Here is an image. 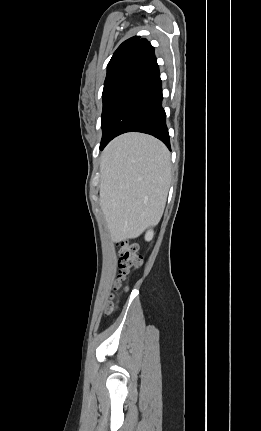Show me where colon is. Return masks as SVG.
<instances>
[{"label":"colon","mask_w":261,"mask_h":431,"mask_svg":"<svg viewBox=\"0 0 261 431\" xmlns=\"http://www.w3.org/2000/svg\"><path fill=\"white\" fill-rule=\"evenodd\" d=\"M119 256H120V271L118 275V281L115 285V291L125 290L126 287L124 282L127 280L131 270L137 268L142 263V257L138 253V246L135 243L129 241H122L119 244ZM116 304L114 299L110 300L106 306V312L108 314L114 312Z\"/></svg>","instance_id":"obj_1"}]
</instances>
